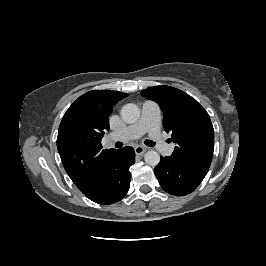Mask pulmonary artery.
Instances as JSON below:
<instances>
[{"label": "pulmonary artery", "mask_w": 266, "mask_h": 266, "mask_svg": "<svg viewBox=\"0 0 266 266\" xmlns=\"http://www.w3.org/2000/svg\"><path fill=\"white\" fill-rule=\"evenodd\" d=\"M148 132L149 136L156 142L158 150L165 155H170L174 150V144L167 143L161 135V110L157 103L145 101L142 106L140 119L127 126L120 132L112 133V137L122 140L136 139Z\"/></svg>", "instance_id": "obj_1"}]
</instances>
